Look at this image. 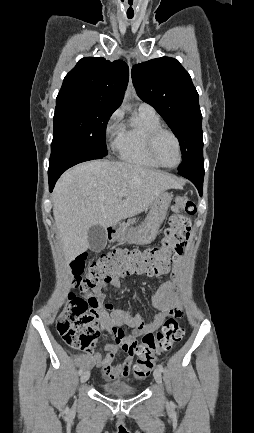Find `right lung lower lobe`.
I'll list each match as a JSON object with an SVG mask.
<instances>
[{
	"label": "right lung lower lobe",
	"mask_w": 254,
	"mask_h": 433,
	"mask_svg": "<svg viewBox=\"0 0 254 433\" xmlns=\"http://www.w3.org/2000/svg\"><path fill=\"white\" fill-rule=\"evenodd\" d=\"M100 158L103 157L91 154L71 144H64L58 149L51 151L48 169L50 192H52L56 181L65 170L78 163Z\"/></svg>",
	"instance_id": "1"
}]
</instances>
